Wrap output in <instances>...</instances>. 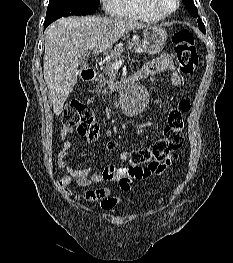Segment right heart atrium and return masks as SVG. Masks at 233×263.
I'll return each instance as SVG.
<instances>
[{
    "label": "right heart atrium",
    "instance_id": "d8ad5b80",
    "mask_svg": "<svg viewBox=\"0 0 233 263\" xmlns=\"http://www.w3.org/2000/svg\"><path fill=\"white\" fill-rule=\"evenodd\" d=\"M115 2H116V0H101L103 8L108 13L114 12Z\"/></svg>",
    "mask_w": 233,
    "mask_h": 263
}]
</instances>
